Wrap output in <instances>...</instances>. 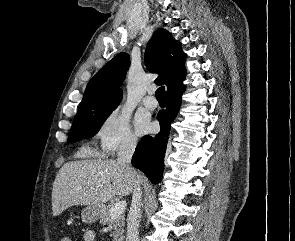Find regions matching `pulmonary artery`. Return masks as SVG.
Returning a JSON list of instances; mask_svg holds the SVG:
<instances>
[{"label":"pulmonary artery","mask_w":295,"mask_h":241,"mask_svg":"<svg viewBox=\"0 0 295 241\" xmlns=\"http://www.w3.org/2000/svg\"><path fill=\"white\" fill-rule=\"evenodd\" d=\"M154 91L152 89H149L147 91V95L143 99V104L146 108L153 110L157 107V101L152 96Z\"/></svg>","instance_id":"obj_1"}]
</instances>
